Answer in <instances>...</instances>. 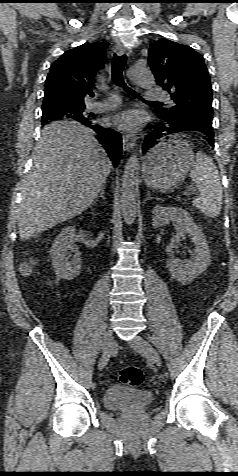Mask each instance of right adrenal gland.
I'll return each mask as SVG.
<instances>
[{"mask_svg": "<svg viewBox=\"0 0 238 476\" xmlns=\"http://www.w3.org/2000/svg\"><path fill=\"white\" fill-rule=\"evenodd\" d=\"M99 198H102L103 200H105V196H104V188L101 189V192L99 194V196H97V198L95 199L94 203L99 199Z\"/></svg>", "mask_w": 238, "mask_h": 476, "instance_id": "1", "label": "right adrenal gland"}]
</instances>
